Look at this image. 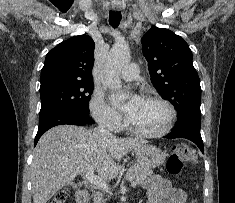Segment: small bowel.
I'll return each mask as SVG.
<instances>
[{"instance_id":"small-bowel-1","label":"small bowel","mask_w":235,"mask_h":203,"mask_svg":"<svg viewBox=\"0 0 235 203\" xmlns=\"http://www.w3.org/2000/svg\"><path fill=\"white\" fill-rule=\"evenodd\" d=\"M147 203H186L185 193L172 187L171 183L160 176L150 177L146 183Z\"/></svg>"}]
</instances>
